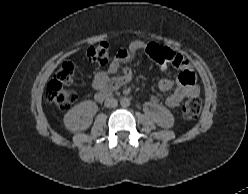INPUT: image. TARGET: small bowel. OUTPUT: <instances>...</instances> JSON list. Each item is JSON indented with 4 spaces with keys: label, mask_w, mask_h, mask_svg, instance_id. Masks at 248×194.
Masks as SVG:
<instances>
[{
    "label": "small bowel",
    "mask_w": 248,
    "mask_h": 194,
    "mask_svg": "<svg viewBox=\"0 0 248 194\" xmlns=\"http://www.w3.org/2000/svg\"><path fill=\"white\" fill-rule=\"evenodd\" d=\"M149 45L141 41L134 42L128 49H120L116 52L114 60L111 62L107 70L96 73L93 80V87L97 92H109L128 83L132 79V71L129 68H123L132 53H136L143 49H148ZM173 65L181 69L177 77L176 83L168 78L159 81L158 87L162 92H169L174 87L175 90L166 98L165 104L169 108L177 107L183 100L199 95V88L196 84L195 73L189 61L182 55H175ZM120 73V74H119ZM159 103L156 99L150 100L148 107L156 110Z\"/></svg>",
    "instance_id": "c3829d8e"
}]
</instances>
